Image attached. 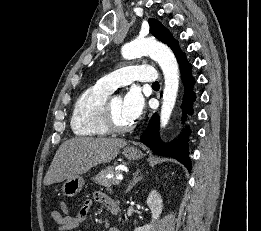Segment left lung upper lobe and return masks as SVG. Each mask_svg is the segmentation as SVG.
Masks as SVG:
<instances>
[{
	"label": "left lung upper lobe",
	"instance_id": "left-lung-upper-lobe-1",
	"mask_svg": "<svg viewBox=\"0 0 261 231\" xmlns=\"http://www.w3.org/2000/svg\"><path fill=\"white\" fill-rule=\"evenodd\" d=\"M150 32L153 36H155L159 41L167 44L172 51L174 52L177 61L182 58L185 53H182L181 49L178 46V42L172 37L168 29L163 26L156 19H149Z\"/></svg>",
	"mask_w": 261,
	"mask_h": 231
}]
</instances>
